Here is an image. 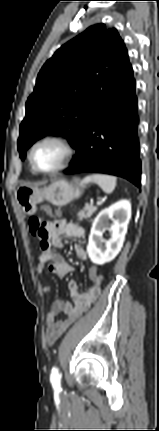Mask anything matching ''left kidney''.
<instances>
[{
	"label": "left kidney",
	"mask_w": 159,
	"mask_h": 431,
	"mask_svg": "<svg viewBox=\"0 0 159 431\" xmlns=\"http://www.w3.org/2000/svg\"><path fill=\"white\" fill-rule=\"evenodd\" d=\"M130 218L131 204L128 200H120L97 215L87 246L88 256L94 264L103 265L118 255L124 243ZM106 229L110 233L108 241L103 240Z\"/></svg>",
	"instance_id": "left-kidney-1"
}]
</instances>
